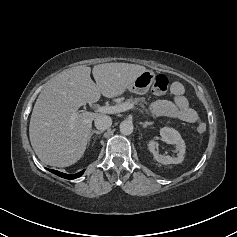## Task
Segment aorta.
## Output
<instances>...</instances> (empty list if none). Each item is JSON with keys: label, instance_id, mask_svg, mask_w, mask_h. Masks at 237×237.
<instances>
[{"label": "aorta", "instance_id": "obj_1", "mask_svg": "<svg viewBox=\"0 0 237 237\" xmlns=\"http://www.w3.org/2000/svg\"><path fill=\"white\" fill-rule=\"evenodd\" d=\"M119 128H120L121 134H123V135H130V134H132L133 129H134L133 123L131 121H128V120L122 121L120 123Z\"/></svg>", "mask_w": 237, "mask_h": 237}]
</instances>
